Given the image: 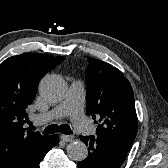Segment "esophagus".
I'll return each instance as SVG.
<instances>
[{
  "instance_id": "1",
  "label": "esophagus",
  "mask_w": 168,
  "mask_h": 168,
  "mask_svg": "<svg viewBox=\"0 0 168 168\" xmlns=\"http://www.w3.org/2000/svg\"><path fill=\"white\" fill-rule=\"evenodd\" d=\"M61 139L65 142H72L75 139L74 135H61Z\"/></svg>"
}]
</instances>
